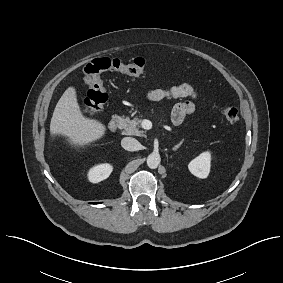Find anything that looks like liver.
Masks as SVG:
<instances>
[{
  "label": "liver",
  "mask_w": 283,
  "mask_h": 283,
  "mask_svg": "<svg viewBox=\"0 0 283 283\" xmlns=\"http://www.w3.org/2000/svg\"><path fill=\"white\" fill-rule=\"evenodd\" d=\"M106 127L100 121L83 115L74 86L63 93L53 112L50 123L51 138L61 136L75 148H85L100 140Z\"/></svg>",
  "instance_id": "6515ba94"
}]
</instances>
